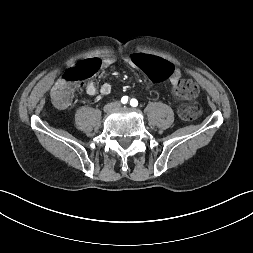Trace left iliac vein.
Masks as SVG:
<instances>
[{
    "label": "left iliac vein",
    "mask_w": 253,
    "mask_h": 253,
    "mask_svg": "<svg viewBox=\"0 0 253 253\" xmlns=\"http://www.w3.org/2000/svg\"><path fill=\"white\" fill-rule=\"evenodd\" d=\"M121 106L120 105H116V108H120Z\"/></svg>",
    "instance_id": "left-iliac-vein-1"
}]
</instances>
